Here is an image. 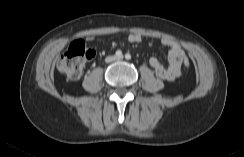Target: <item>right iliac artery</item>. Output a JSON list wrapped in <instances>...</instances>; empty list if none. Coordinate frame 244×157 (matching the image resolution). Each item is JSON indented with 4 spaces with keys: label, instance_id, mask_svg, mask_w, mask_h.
Here are the masks:
<instances>
[{
    "label": "right iliac artery",
    "instance_id": "82829eb1",
    "mask_svg": "<svg viewBox=\"0 0 244 157\" xmlns=\"http://www.w3.org/2000/svg\"><path fill=\"white\" fill-rule=\"evenodd\" d=\"M115 54H116L117 57H120V56H122V51L121 50H117Z\"/></svg>",
    "mask_w": 244,
    "mask_h": 157
}]
</instances>
